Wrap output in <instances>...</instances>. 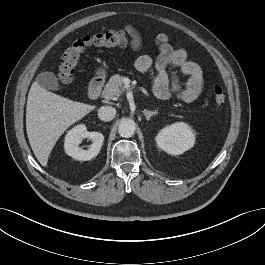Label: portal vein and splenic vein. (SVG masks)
<instances>
[{
  "label": "portal vein and splenic vein",
  "instance_id": "portal-vein-and-splenic-vein-1",
  "mask_svg": "<svg viewBox=\"0 0 265 265\" xmlns=\"http://www.w3.org/2000/svg\"><path fill=\"white\" fill-rule=\"evenodd\" d=\"M124 84H125V88L128 89L129 88V84H130V80L126 79Z\"/></svg>",
  "mask_w": 265,
  "mask_h": 265
}]
</instances>
